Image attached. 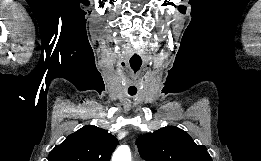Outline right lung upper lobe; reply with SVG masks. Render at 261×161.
<instances>
[{
  "label": "right lung upper lobe",
  "mask_w": 261,
  "mask_h": 161,
  "mask_svg": "<svg viewBox=\"0 0 261 161\" xmlns=\"http://www.w3.org/2000/svg\"><path fill=\"white\" fill-rule=\"evenodd\" d=\"M117 139L106 130L87 125L69 135L50 152L48 161H110Z\"/></svg>",
  "instance_id": "1"
}]
</instances>
